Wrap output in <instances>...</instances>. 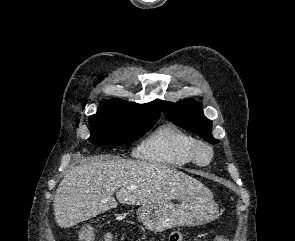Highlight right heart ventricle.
<instances>
[{
	"label": "right heart ventricle",
	"mask_w": 295,
	"mask_h": 241,
	"mask_svg": "<svg viewBox=\"0 0 295 241\" xmlns=\"http://www.w3.org/2000/svg\"><path fill=\"white\" fill-rule=\"evenodd\" d=\"M197 140L173 125L156 129L137 148L139 158L153 163L183 167L194 163L192 152Z\"/></svg>",
	"instance_id": "1"
}]
</instances>
